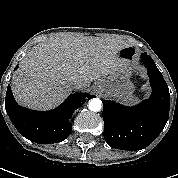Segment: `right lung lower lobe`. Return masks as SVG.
<instances>
[{"instance_id": "right-lung-lower-lobe-1", "label": "right lung lower lobe", "mask_w": 178, "mask_h": 178, "mask_svg": "<svg viewBox=\"0 0 178 178\" xmlns=\"http://www.w3.org/2000/svg\"><path fill=\"white\" fill-rule=\"evenodd\" d=\"M17 68L18 66L15 67ZM93 97L86 93H74L58 108L39 112L19 107L8 85L5 109L11 122L22 136L39 144H49L61 142L70 135L75 110Z\"/></svg>"}]
</instances>
